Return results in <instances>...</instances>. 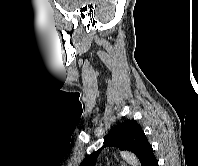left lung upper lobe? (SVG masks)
Segmentation results:
<instances>
[{"instance_id":"5c2ea615","label":"left lung upper lobe","mask_w":198,"mask_h":166,"mask_svg":"<svg viewBox=\"0 0 198 166\" xmlns=\"http://www.w3.org/2000/svg\"><path fill=\"white\" fill-rule=\"evenodd\" d=\"M104 147H118L120 150L133 152L139 158L141 166H146L149 159L154 155L151 144L135 120H127L114 127L104 146L90 154L82 161L80 166H95L97 158Z\"/></svg>"}]
</instances>
